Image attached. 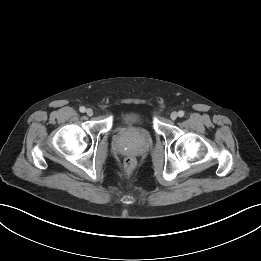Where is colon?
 <instances>
[{"instance_id": "obj_1", "label": "colon", "mask_w": 261, "mask_h": 261, "mask_svg": "<svg viewBox=\"0 0 261 261\" xmlns=\"http://www.w3.org/2000/svg\"><path fill=\"white\" fill-rule=\"evenodd\" d=\"M136 166V161L135 159L129 157V158H126L125 161H124V168L127 172H131L134 170Z\"/></svg>"}]
</instances>
